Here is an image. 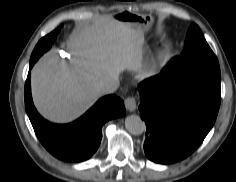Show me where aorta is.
<instances>
[{
    "instance_id": "obj_1",
    "label": "aorta",
    "mask_w": 236,
    "mask_h": 182,
    "mask_svg": "<svg viewBox=\"0 0 236 182\" xmlns=\"http://www.w3.org/2000/svg\"><path fill=\"white\" fill-rule=\"evenodd\" d=\"M127 131L133 135H141L146 130V125L137 115H130L125 119Z\"/></svg>"
}]
</instances>
